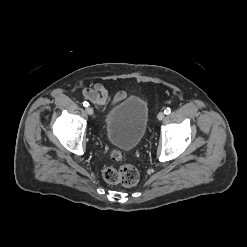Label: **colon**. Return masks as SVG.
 Segmentation results:
<instances>
[{
  "instance_id": "obj_1",
  "label": "colon",
  "mask_w": 247,
  "mask_h": 247,
  "mask_svg": "<svg viewBox=\"0 0 247 247\" xmlns=\"http://www.w3.org/2000/svg\"><path fill=\"white\" fill-rule=\"evenodd\" d=\"M110 156L113 161L117 162H120L123 158L119 150H112ZM102 176L109 184H119L125 187H132L139 181L137 169L130 164H122L118 168L114 166H105L102 170Z\"/></svg>"
}]
</instances>
